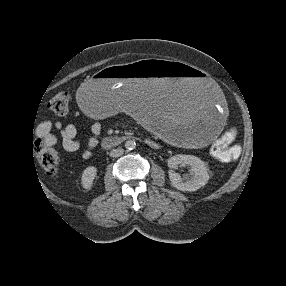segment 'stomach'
<instances>
[{
    "label": "stomach",
    "instance_id": "1",
    "mask_svg": "<svg viewBox=\"0 0 286 286\" xmlns=\"http://www.w3.org/2000/svg\"><path fill=\"white\" fill-rule=\"evenodd\" d=\"M79 101L95 117L116 119L129 110L159 139L182 147L210 142L228 117L227 99L213 79L160 57L107 65L83 85Z\"/></svg>",
    "mask_w": 286,
    "mask_h": 286
}]
</instances>
